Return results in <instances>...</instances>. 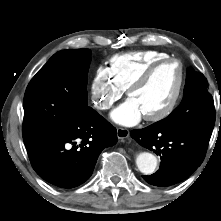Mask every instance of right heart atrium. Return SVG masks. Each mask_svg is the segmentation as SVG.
Returning a JSON list of instances; mask_svg holds the SVG:
<instances>
[{
    "label": "right heart atrium",
    "mask_w": 221,
    "mask_h": 221,
    "mask_svg": "<svg viewBox=\"0 0 221 221\" xmlns=\"http://www.w3.org/2000/svg\"><path fill=\"white\" fill-rule=\"evenodd\" d=\"M90 92L93 106L106 111L123 96L125 89L114 80L108 68L99 66L91 80Z\"/></svg>",
    "instance_id": "obj_1"
}]
</instances>
